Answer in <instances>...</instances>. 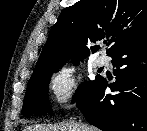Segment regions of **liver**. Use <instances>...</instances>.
<instances>
[{
	"instance_id": "1",
	"label": "liver",
	"mask_w": 147,
	"mask_h": 131,
	"mask_svg": "<svg viewBox=\"0 0 147 131\" xmlns=\"http://www.w3.org/2000/svg\"><path fill=\"white\" fill-rule=\"evenodd\" d=\"M23 131H98L96 128L78 122L59 124H36L26 126Z\"/></svg>"
}]
</instances>
